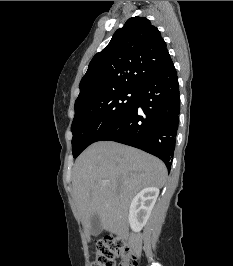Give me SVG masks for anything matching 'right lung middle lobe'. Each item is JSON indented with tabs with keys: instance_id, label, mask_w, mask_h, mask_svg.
Listing matches in <instances>:
<instances>
[{
	"instance_id": "right-lung-middle-lobe-1",
	"label": "right lung middle lobe",
	"mask_w": 233,
	"mask_h": 266,
	"mask_svg": "<svg viewBox=\"0 0 233 266\" xmlns=\"http://www.w3.org/2000/svg\"><path fill=\"white\" fill-rule=\"evenodd\" d=\"M138 89L121 88L96 93L75 102L71 130L72 153L77 157L113 125L134 103Z\"/></svg>"
}]
</instances>
